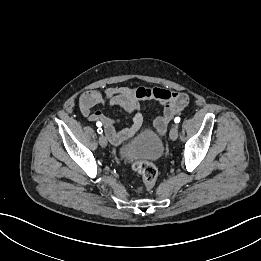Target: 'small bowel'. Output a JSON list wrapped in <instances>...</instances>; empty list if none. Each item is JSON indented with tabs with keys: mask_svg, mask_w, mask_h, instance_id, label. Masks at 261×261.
<instances>
[{
	"mask_svg": "<svg viewBox=\"0 0 261 261\" xmlns=\"http://www.w3.org/2000/svg\"><path fill=\"white\" fill-rule=\"evenodd\" d=\"M156 102L161 107V114L155 116L153 125L159 135H164L172 118L181 113L189 103V97L181 91L161 87H112L107 89L89 90L79 99V110L90 122H101L104 131L114 144L130 137L143 128L142 104ZM108 104L119 106L133 116L129 128L116 129L117 120L110 118L101 111L92 109L98 105Z\"/></svg>",
	"mask_w": 261,
	"mask_h": 261,
	"instance_id": "obj_1",
	"label": "small bowel"
}]
</instances>
